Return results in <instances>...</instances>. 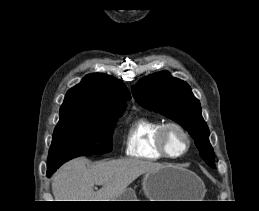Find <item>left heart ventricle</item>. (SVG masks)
Returning <instances> with one entry per match:
<instances>
[{
	"mask_svg": "<svg viewBox=\"0 0 259 211\" xmlns=\"http://www.w3.org/2000/svg\"><path fill=\"white\" fill-rule=\"evenodd\" d=\"M166 143L170 153L178 154L185 148V139L181 133L172 128L167 131Z\"/></svg>",
	"mask_w": 259,
	"mask_h": 211,
	"instance_id": "1",
	"label": "left heart ventricle"
}]
</instances>
